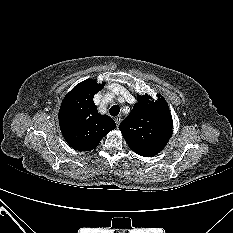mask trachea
<instances>
[{"mask_svg": "<svg viewBox=\"0 0 233 233\" xmlns=\"http://www.w3.org/2000/svg\"><path fill=\"white\" fill-rule=\"evenodd\" d=\"M120 112V107L118 105H113L110 109H109V113L111 116H117Z\"/></svg>", "mask_w": 233, "mask_h": 233, "instance_id": "trachea-1", "label": "trachea"}]
</instances>
